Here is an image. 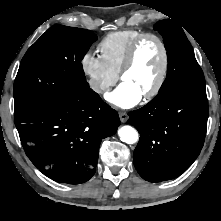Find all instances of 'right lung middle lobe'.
<instances>
[{"mask_svg": "<svg viewBox=\"0 0 221 221\" xmlns=\"http://www.w3.org/2000/svg\"><path fill=\"white\" fill-rule=\"evenodd\" d=\"M97 36L89 30L53 26L24 55L14 82V116L22 117L89 89L81 60Z\"/></svg>", "mask_w": 221, "mask_h": 221, "instance_id": "dd1d6c3e", "label": "right lung middle lobe"}]
</instances>
